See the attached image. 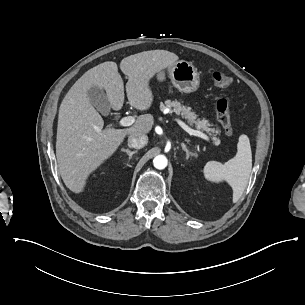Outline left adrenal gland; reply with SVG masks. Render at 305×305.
<instances>
[{
    "instance_id": "obj_1",
    "label": "left adrenal gland",
    "mask_w": 305,
    "mask_h": 305,
    "mask_svg": "<svg viewBox=\"0 0 305 305\" xmlns=\"http://www.w3.org/2000/svg\"><path fill=\"white\" fill-rule=\"evenodd\" d=\"M182 149L186 152V159L188 160L189 159V156L190 155H194V153L193 152H190L187 148H186V146L184 145V144H182Z\"/></svg>"
}]
</instances>
